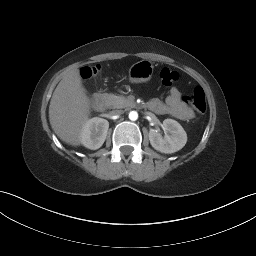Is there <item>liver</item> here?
Returning <instances> with one entry per match:
<instances>
[{"mask_svg": "<svg viewBox=\"0 0 256 256\" xmlns=\"http://www.w3.org/2000/svg\"><path fill=\"white\" fill-rule=\"evenodd\" d=\"M90 109L79 69H72L59 82L50 101L49 121L53 131L65 143L79 146Z\"/></svg>", "mask_w": 256, "mask_h": 256, "instance_id": "obj_1", "label": "liver"}]
</instances>
